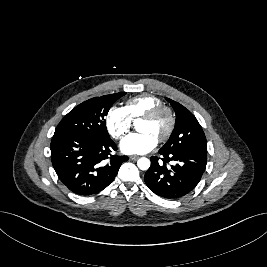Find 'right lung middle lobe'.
Returning <instances> with one entry per match:
<instances>
[{"label": "right lung middle lobe", "instance_id": "dd1d6c3e", "mask_svg": "<svg viewBox=\"0 0 267 267\" xmlns=\"http://www.w3.org/2000/svg\"><path fill=\"white\" fill-rule=\"evenodd\" d=\"M125 92L94 97L73 108L58 124L54 135L109 137L105 116Z\"/></svg>", "mask_w": 267, "mask_h": 267}]
</instances>
